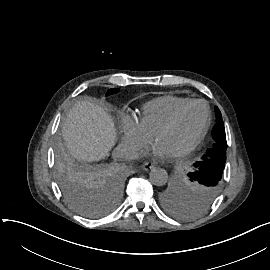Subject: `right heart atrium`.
I'll return each mask as SVG.
<instances>
[{
  "mask_svg": "<svg viewBox=\"0 0 270 270\" xmlns=\"http://www.w3.org/2000/svg\"><path fill=\"white\" fill-rule=\"evenodd\" d=\"M121 139H129L133 141L139 152L145 148V146L151 140V134L145 133L138 124L129 117H124L121 124Z\"/></svg>",
  "mask_w": 270,
  "mask_h": 270,
  "instance_id": "1",
  "label": "right heart atrium"
}]
</instances>
